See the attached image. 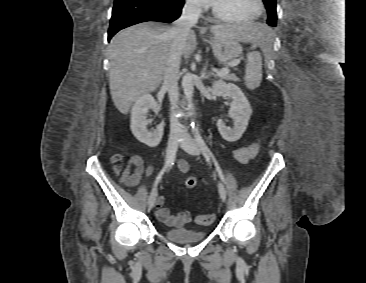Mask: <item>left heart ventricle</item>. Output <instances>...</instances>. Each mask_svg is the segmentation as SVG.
Instances as JSON below:
<instances>
[{
  "label": "left heart ventricle",
  "instance_id": "b2bd125f",
  "mask_svg": "<svg viewBox=\"0 0 366 283\" xmlns=\"http://www.w3.org/2000/svg\"><path fill=\"white\" fill-rule=\"evenodd\" d=\"M213 4L222 14L237 18L250 17L257 11L256 0H216Z\"/></svg>",
  "mask_w": 366,
  "mask_h": 283
}]
</instances>
